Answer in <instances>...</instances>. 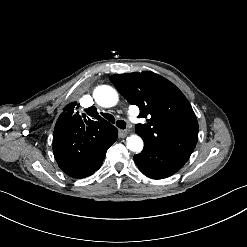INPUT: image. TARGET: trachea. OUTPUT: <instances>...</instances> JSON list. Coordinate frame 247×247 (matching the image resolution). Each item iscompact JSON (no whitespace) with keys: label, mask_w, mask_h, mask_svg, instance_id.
Returning a JSON list of instances; mask_svg holds the SVG:
<instances>
[{"label":"trachea","mask_w":247,"mask_h":247,"mask_svg":"<svg viewBox=\"0 0 247 247\" xmlns=\"http://www.w3.org/2000/svg\"><path fill=\"white\" fill-rule=\"evenodd\" d=\"M101 115H102L105 119H107L108 121H110L111 123H115V118L113 117V115L107 114V113H101ZM116 125H117L119 128H121V129H125V128H126V123H125V121H123V120H118V121L116 122Z\"/></svg>","instance_id":"trachea-1"}]
</instances>
